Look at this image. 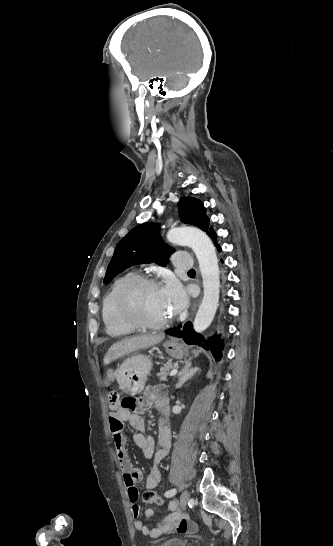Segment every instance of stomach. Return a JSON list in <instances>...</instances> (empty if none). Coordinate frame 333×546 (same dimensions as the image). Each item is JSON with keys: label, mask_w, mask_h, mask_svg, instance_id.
I'll use <instances>...</instances> for the list:
<instances>
[{"label": "stomach", "mask_w": 333, "mask_h": 546, "mask_svg": "<svg viewBox=\"0 0 333 546\" xmlns=\"http://www.w3.org/2000/svg\"><path fill=\"white\" fill-rule=\"evenodd\" d=\"M164 348L172 358L182 359L184 356L183 345L175 339L165 342ZM151 368V358L140 354L133 355L117 368L116 379L126 394H139L144 389Z\"/></svg>", "instance_id": "0dacf381"}]
</instances>
